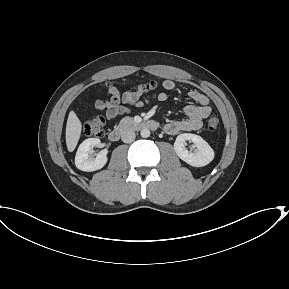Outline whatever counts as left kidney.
Wrapping results in <instances>:
<instances>
[{
    "label": "left kidney",
    "mask_w": 289,
    "mask_h": 289,
    "mask_svg": "<svg viewBox=\"0 0 289 289\" xmlns=\"http://www.w3.org/2000/svg\"><path fill=\"white\" fill-rule=\"evenodd\" d=\"M187 141L192 142V149L188 151ZM174 150L178 157L193 167H203L214 159V151L210 145L200 136L191 133H183L177 136Z\"/></svg>",
    "instance_id": "1"
}]
</instances>
